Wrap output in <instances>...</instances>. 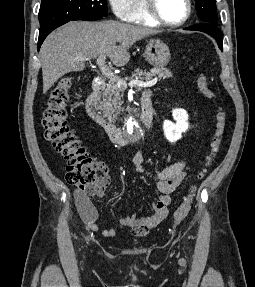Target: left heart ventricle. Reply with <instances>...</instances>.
Instances as JSON below:
<instances>
[{
  "label": "left heart ventricle",
  "mask_w": 255,
  "mask_h": 287,
  "mask_svg": "<svg viewBox=\"0 0 255 287\" xmlns=\"http://www.w3.org/2000/svg\"><path fill=\"white\" fill-rule=\"evenodd\" d=\"M115 48H127V47H115ZM130 48H132V47H130Z\"/></svg>",
  "instance_id": "1"
}]
</instances>
